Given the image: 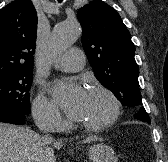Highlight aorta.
Instances as JSON below:
<instances>
[{"label":"aorta","mask_w":168,"mask_h":162,"mask_svg":"<svg viewBox=\"0 0 168 162\" xmlns=\"http://www.w3.org/2000/svg\"><path fill=\"white\" fill-rule=\"evenodd\" d=\"M81 35V28L78 22H62L57 24L50 36L47 56L50 59L56 58L71 47Z\"/></svg>","instance_id":"1"}]
</instances>
